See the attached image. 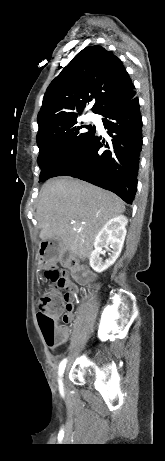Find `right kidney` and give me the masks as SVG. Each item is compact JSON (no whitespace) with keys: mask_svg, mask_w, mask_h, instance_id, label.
I'll list each match as a JSON object with an SVG mask.
<instances>
[{"mask_svg":"<svg viewBox=\"0 0 165 461\" xmlns=\"http://www.w3.org/2000/svg\"><path fill=\"white\" fill-rule=\"evenodd\" d=\"M127 222L125 216H115L98 232L94 241L95 249L90 254V266L94 271H105L119 257L126 236ZM107 251H110L109 258L103 261L100 255H105Z\"/></svg>","mask_w":165,"mask_h":461,"instance_id":"1","label":"right kidney"}]
</instances>
